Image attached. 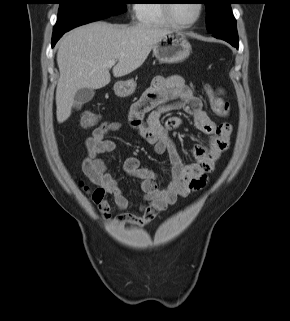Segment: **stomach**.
Returning <instances> with one entry per match:
<instances>
[{
  "instance_id": "obj_1",
  "label": "stomach",
  "mask_w": 290,
  "mask_h": 321,
  "mask_svg": "<svg viewBox=\"0 0 290 321\" xmlns=\"http://www.w3.org/2000/svg\"><path fill=\"white\" fill-rule=\"evenodd\" d=\"M191 45L183 34L170 32L164 35L154 46L153 55L160 63H178L189 57ZM136 88L132 79L118 81L114 85L115 94L119 97L131 95Z\"/></svg>"
}]
</instances>
